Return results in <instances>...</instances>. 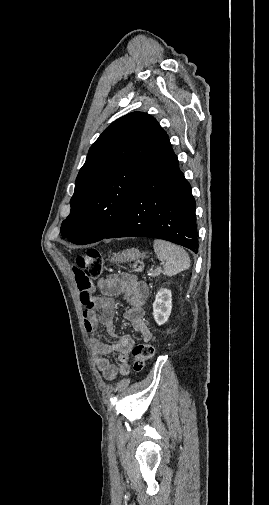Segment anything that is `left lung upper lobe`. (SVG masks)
Wrapping results in <instances>:
<instances>
[{"instance_id":"obj_1","label":"left lung upper lobe","mask_w":269,"mask_h":505,"mask_svg":"<svg viewBox=\"0 0 269 505\" xmlns=\"http://www.w3.org/2000/svg\"><path fill=\"white\" fill-rule=\"evenodd\" d=\"M159 123L143 112L114 121L89 149L61 235L75 244L103 239L123 215L152 146Z\"/></svg>"}]
</instances>
